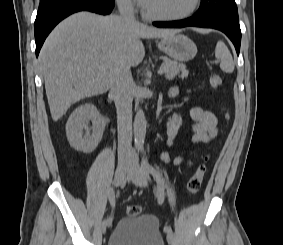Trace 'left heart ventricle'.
Returning <instances> with one entry per match:
<instances>
[{
	"mask_svg": "<svg viewBox=\"0 0 283 245\" xmlns=\"http://www.w3.org/2000/svg\"><path fill=\"white\" fill-rule=\"evenodd\" d=\"M193 0H147L144 7L153 14L174 16L188 10Z\"/></svg>",
	"mask_w": 283,
	"mask_h": 245,
	"instance_id": "obj_1",
	"label": "left heart ventricle"
}]
</instances>
